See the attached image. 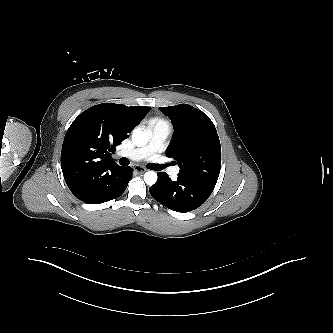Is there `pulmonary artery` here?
I'll list each match as a JSON object with an SVG mask.
<instances>
[{
	"mask_svg": "<svg viewBox=\"0 0 333 333\" xmlns=\"http://www.w3.org/2000/svg\"><path fill=\"white\" fill-rule=\"evenodd\" d=\"M149 131L150 138L147 145L141 148L120 151L118 155L120 157H125L130 160L138 161L159 152L171 132V127L169 123L159 121L152 124L149 128ZM170 173L171 175L176 176L179 173V168L174 167L170 169Z\"/></svg>",
	"mask_w": 333,
	"mask_h": 333,
	"instance_id": "obj_1",
	"label": "pulmonary artery"
}]
</instances>
